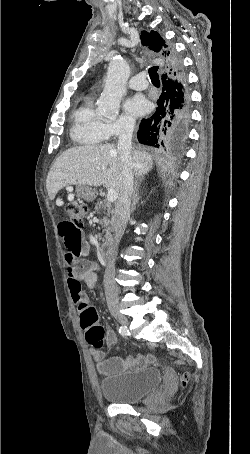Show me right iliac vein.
Returning a JSON list of instances; mask_svg holds the SVG:
<instances>
[{"label": "right iliac vein", "mask_w": 250, "mask_h": 454, "mask_svg": "<svg viewBox=\"0 0 250 454\" xmlns=\"http://www.w3.org/2000/svg\"><path fill=\"white\" fill-rule=\"evenodd\" d=\"M111 314L121 325L124 327L128 326L129 322L127 317L120 313L118 308L111 309Z\"/></svg>", "instance_id": "63e3f726"}]
</instances>
